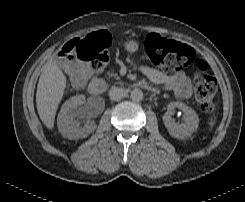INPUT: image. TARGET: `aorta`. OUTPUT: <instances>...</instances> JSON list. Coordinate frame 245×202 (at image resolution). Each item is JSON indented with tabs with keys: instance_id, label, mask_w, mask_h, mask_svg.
Here are the masks:
<instances>
[{
	"instance_id": "1",
	"label": "aorta",
	"mask_w": 245,
	"mask_h": 202,
	"mask_svg": "<svg viewBox=\"0 0 245 202\" xmlns=\"http://www.w3.org/2000/svg\"><path fill=\"white\" fill-rule=\"evenodd\" d=\"M133 101L139 102L143 99V92L141 89H133L130 94Z\"/></svg>"
}]
</instances>
